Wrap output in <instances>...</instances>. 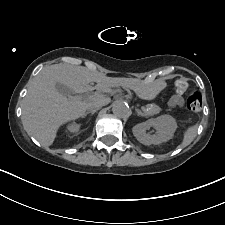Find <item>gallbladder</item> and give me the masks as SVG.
Returning <instances> with one entry per match:
<instances>
[{"label":"gallbladder","instance_id":"obj_1","mask_svg":"<svg viewBox=\"0 0 225 225\" xmlns=\"http://www.w3.org/2000/svg\"><path fill=\"white\" fill-rule=\"evenodd\" d=\"M56 89L65 96H70L73 94V92L70 88H68L67 86H65L61 83H56Z\"/></svg>","mask_w":225,"mask_h":225}]
</instances>
